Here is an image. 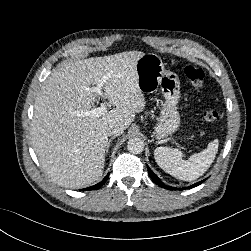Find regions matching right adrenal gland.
<instances>
[{
	"label": "right adrenal gland",
	"mask_w": 251,
	"mask_h": 251,
	"mask_svg": "<svg viewBox=\"0 0 251 251\" xmlns=\"http://www.w3.org/2000/svg\"><path fill=\"white\" fill-rule=\"evenodd\" d=\"M113 139H114V138L109 139V141H108V145H107V147H106V153H108V152H109L110 143L112 142V140H113Z\"/></svg>",
	"instance_id": "1"
}]
</instances>
